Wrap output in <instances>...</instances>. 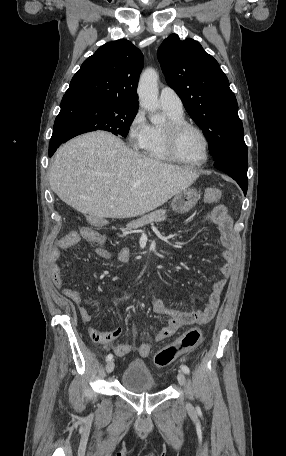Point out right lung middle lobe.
<instances>
[{
  "mask_svg": "<svg viewBox=\"0 0 286 456\" xmlns=\"http://www.w3.org/2000/svg\"><path fill=\"white\" fill-rule=\"evenodd\" d=\"M138 107L88 98L75 97L66 106V114L57 129L58 140L63 142L79 134L106 130L126 137Z\"/></svg>",
  "mask_w": 286,
  "mask_h": 456,
  "instance_id": "1",
  "label": "right lung middle lobe"
}]
</instances>
